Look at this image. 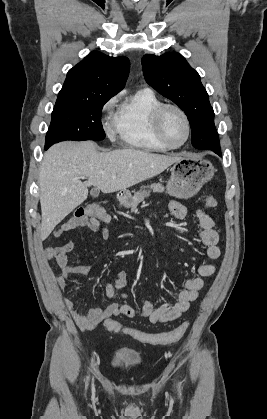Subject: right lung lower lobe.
<instances>
[{"instance_id":"right-lung-lower-lobe-1","label":"right lung lower lobe","mask_w":267,"mask_h":419,"mask_svg":"<svg viewBox=\"0 0 267 419\" xmlns=\"http://www.w3.org/2000/svg\"><path fill=\"white\" fill-rule=\"evenodd\" d=\"M48 147H50V146H48L47 144H45V149H47Z\"/></svg>"}]
</instances>
